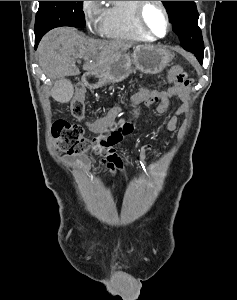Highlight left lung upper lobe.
Masks as SVG:
<instances>
[{"label":"left lung upper lobe","instance_id":"left-lung-upper-lobe-1","mask_svg":"<svg viewBox=\"0 0 237 300\" xmlns=\"http://www.w3.org/2000/svg\"><path fill=\"white\" fill-rule=\"evenodd\" d=\"M165 5L174 32L185 50L195 54L200 63L204 55V43L198 27L199 14L194 1H162Z\"/></svg>","mask_w":237,"mask_h":300}]
</instances>
